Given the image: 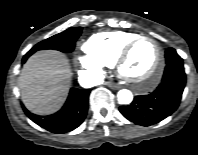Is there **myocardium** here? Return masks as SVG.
Returning <instances> with one entry per match:
<instances>
[{
	"label": "myocardium",
	"instance_id": "myocardium-1",
	"mask_svg": "<svg viewBox=\"0 0 198 155\" xmlns=\"http://www.w3.org/2000/svg\"><path fill=\"white\" fill-rule=\"evenodd\" d=\"M148 40L154 43L156 48V61L151 73L144 79H134L126 75L123 71V64L129 57L132 49L140 41ZM164 63V53L159 43L152 37L146 35H139L132 40L128 41L115 58L114 66L118 76L132 88L138 91H146L153 88L158 82L162 67Z\"/></svg>",
	"mask_w": 198,
	"mask_h": 155
}]
</instances>
